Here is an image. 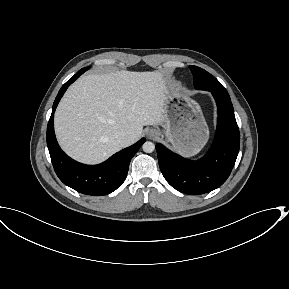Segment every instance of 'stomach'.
I'll return each mask as SVG.
<instances>
[{
	"mask_svg": "<svg viewBox=\"0 0 289 289\" xmlns=\"http://www.w3.org/2000/svg\"><path fill=\"white\" fill-rule=\"evenodd\" d=\"M164 131L174 150L186 157L200 152L209 138V129L200 106L177 89H168L165 100Z\"/></svg>",
	"mask_w": 289,
	"mask_h": 289,
	"instance_id": "obj_1",
	"label": "stomach"
}]
</instances>
